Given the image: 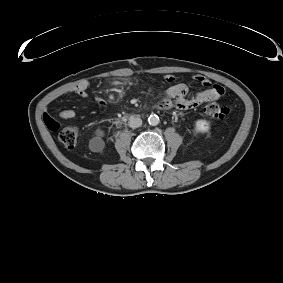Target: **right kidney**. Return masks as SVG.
<instances>
[{
    "instance_id": "ca27d5eb",
    "label": "right kidney",
    "mask_w": 283,
    "mask_h": 283,
    "mask_svg": "<svg viewBox=\"0 0 283 283\" xmlns=\"http://www.w3.org/2000/svg\"><path fill=\"white\" fill-rule=\"evenodd\" d=\"M96 135L100 138L104 135V132L102 130H97Z\"/></svg>"
}]
</instances>
